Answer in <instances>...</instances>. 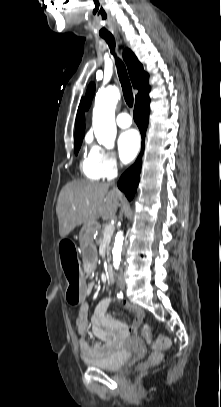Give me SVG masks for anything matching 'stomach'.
<instances>
[{
	"mask_svg": "<svg viewBox=\"0 0 221 407\" xmlns=\"http://www.w3.org/2000/svg\"><path fill=\"white\" fill-rule=\"evenodd\" d=\"M88 228H92V227H95V226H91V225H88L87 226ZM86 251H87V247H84L83 249H82V256H83V268H84V270L86 271V272H88L92 267H93V265H94V260H92V259H89L88 257H87V255H86Z\"/></svg>",
	"mask_w": 221,
	"mask_h": 407,
	"instance_id": "1",
	"label": "stomach"
}]
</instances>
